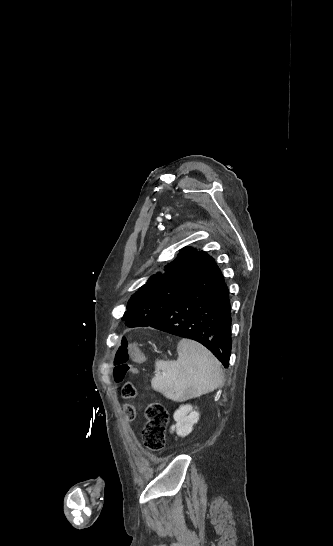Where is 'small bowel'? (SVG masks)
Returning a JSON list of instances; mask_svg holds the SVG:
<instances>
[{
	"mask_svg": "<svg viewBox=\"0 0 333 546\" xmlns=\"http://www.w3.org/2000/svg\"><path fill=\"white\" fill-rule=\"evenodd\" d=\"M138 346H131L129 353L131 357V363L133 365H144L146 363V356L144 354V350L142 346H139L141 343L138 341L136 343ZM122 409L125 410V416H127V421L131 422L133 421V416L135 413H137V408L133 406L131 403H124L122 404Z\"/></svg>",
	"mask_w": 333,
	"mask_h": 546,
	"instance_id": "c3829d8e",
	"label": "small bowel"
}]
</instances>
